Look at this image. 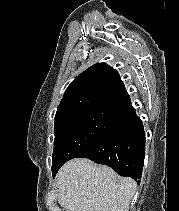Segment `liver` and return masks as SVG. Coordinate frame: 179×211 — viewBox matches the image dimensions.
Here are the masks:
<instances>
[{
	"label": "liver",
	"instance_id": "liver-1",
	"mask_svg": "<svg viewBox=\"0 0 179 211\" xmlns=\"http://www.w3.org/2000/svg\"><path fill=\"white\" fill-rule=\"evenodd\" d=\"M57 200L66 211H129L137 184L85 158L64 164L56 176Z\"/></svg>",
	"mask_w": 179,
	"mask_h": 211
}]
</instances>
